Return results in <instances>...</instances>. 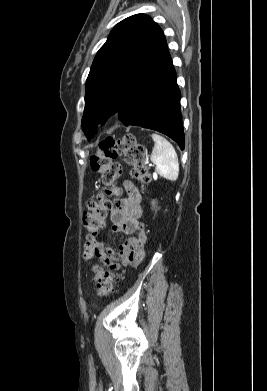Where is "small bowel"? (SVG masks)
<instances>
[{"label": "small bowel", "mask_w": 267, "mask_h": 391, "mask_svg": "<svg viewBox=\"0 0 267 391\" xmlns=\"http://www.w3.org/2000/svg\"><path fill=\"white\" fill-rule=\"evenodd\" d=\"M126 197L116 199L111 206L110 219L115 233H125L127 238L117 250L101 239H94L85 247L84 258L97 257L93 266L95 281L103 275L106 268L118 270L123 266L139 264L146 255V232L140 217L142 215L141 194L136 185L125 181Z\"/></svg>", "instance_id": "obj_1"}]
</instances>
